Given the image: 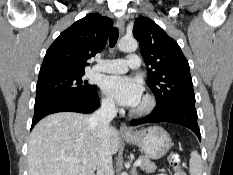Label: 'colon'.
<instances>
[{"label":"colon","instance_id":"colon-1","mask_svg":"<svg viewBox=\"0 0 233 175\" xmlns=\"http://www.w3.org/2000/svg\"><path fill=\"white\" fill-rule=\"evenodd\" d=\"M169 162L174 169V175H187L185 170L182 168L181 156L178 153L171 154Z\"/></svg>","mask_w":233,"mask_h":175}]
</instances>
